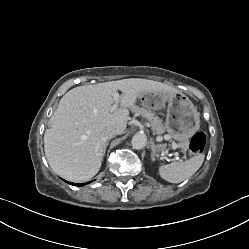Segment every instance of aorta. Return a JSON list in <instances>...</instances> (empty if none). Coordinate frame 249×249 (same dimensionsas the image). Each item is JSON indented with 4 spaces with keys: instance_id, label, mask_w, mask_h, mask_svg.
I'll use <instances>...</instances> for the list:
<instances>
[{
    "instance_id": "obj_1",
    "label": "aorta",
    "mask_w": 249,
    "mask_h": 249,
    "mask_svg": "<svg viewBox=\"0 0 249 249\" xmlns=\"http://www.w3.org/2000/svg\"><path fill=\"white\" fill-rule=\"evenodd\" d=\"M147 137L144 133H136L131 140L132 147L134 149H143L146 146Z\"/></svg>"
}]
</instances>
